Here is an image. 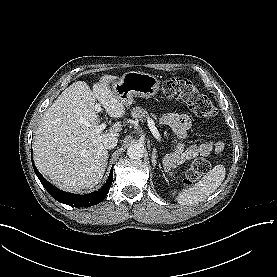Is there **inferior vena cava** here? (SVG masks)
Returning <instances> with one entry per match:
<instances>
[{
    "label": "inferior vena cava",
    "instance_id": "inferior-vena-cava-1",
    "mask_svg": "<svg viewBox=\"0 0 277 277\" xmlns=\"http://www.w3.org/2000/svg\"><path fill=\"white\" fill-rule=\"evenodd\" d=\"M118 138L115 136L108 137L104 142V147L106 149H112L117 146Z\"/></svg>",
    "mask_w": 277,
    "mask_h": 277
}]
</instances>
